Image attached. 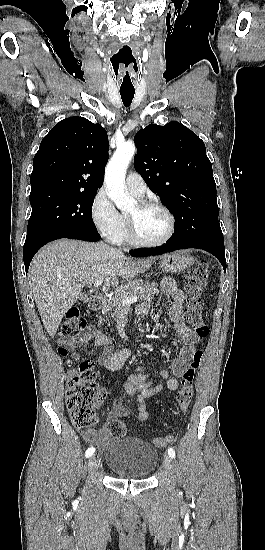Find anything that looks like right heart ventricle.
Returning a JSON list of instances; mask_svg holds the SVG:
<instances>
[{
    "label": "right heart ventricle",
    "instance_id": "obj_1",
    "mask_svg": "<svg viewBox=\"0 0 265 550\" xmlns=\"http://www.w3.org/2000/svg\"><path fill=\"white\" fill-rule=\"evenodd\" d=\"M121 218L123 221V232L121 234V237L118 239V242L130 243L127 215L121 214Z\"/></svg>",
    "mask_w": 265,
    "mask_h": 550
}]
</instances>
